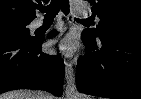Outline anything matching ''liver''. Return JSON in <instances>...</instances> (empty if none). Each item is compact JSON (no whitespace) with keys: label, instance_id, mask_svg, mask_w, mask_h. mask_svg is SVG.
Instances as JSON below:
<instances>
[{"label":"liver","instance_id":"6515ba94","mask_svg":"<svg viewBox=\"0 0 141 99\" xmlns=\"http://www.w3.org/2000/svg\"><path fill=\"white\" fill-rule=\"evenodd\" d=\"M35 94L32 90H14L0 95V99H36Z\"/></svg>","mask_w":141,"mask_h":99}]
</instances>
